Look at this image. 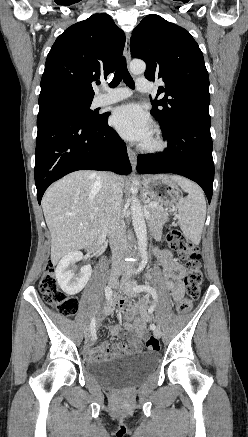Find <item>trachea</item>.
<instances>
[{
  "instance_id": "3493384b",
  "label": "trachea",
  "mask_w": 248,
  "mask_h": 437,
  "mask_svg": "<svg viewBox=\"0 0 248 437\" xmlns=\"http://www.w3.org/2000/svg\"><path fill=\"white\" fill-rule=\"evenodd\" d=\"M122 79L127 86H129L130 88H134V81L128 72L125 57L121 59L115 71L114 77L112 81L109 83V86L111 88L116 87L121 82Z\"/></svg>"
}]
</instances>
